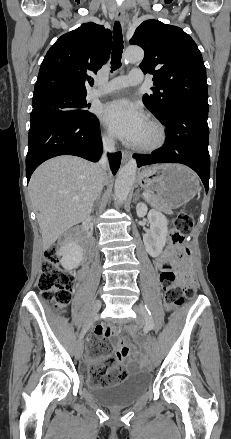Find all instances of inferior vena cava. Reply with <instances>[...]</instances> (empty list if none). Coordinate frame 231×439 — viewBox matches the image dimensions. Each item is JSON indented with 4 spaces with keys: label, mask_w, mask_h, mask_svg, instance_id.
Instances as JSON below:
<instances>
[{
    "label": "inferior vena cava",
    "mask_w": 231,
    "mask_h": 439,
    "mask_svg": "<svg viewBox=\"0 0 231 439\" xmlns=\"http://www.w3.org/2000/svg\"><path fill=\"white\" fill-rule=\"evenodd\" d=\"M103 149H104V154H103L101 160L99 161L97 167L99 169L102 180H106L108 178L106 153L115 151L114 140L112 138H109V137H104L103 138Z\"/></svg>",
    "instance_id": "obj_1"
}]
</instances>
